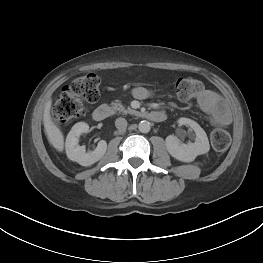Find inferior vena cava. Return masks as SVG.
I'll return each instance as SVG.
<instances>
[{
	"instance_id": "inferior-vena-cava-1",
	"label": "inferior vena cava",
	"mask_w": 263,
	"mask_h": 263,
	"mask_svg": "<svg viewBox=\"0 0 263 263\" xmlns=\"http://www.w3.org/2000/svg\"><path fill=\"white\" fill-rule=\"evenodd\" d=\"M115 126L119 131H125L127 127V121L125 118L119 117L115 121Z\"/></svg>"
}]
</instances>
